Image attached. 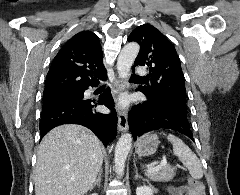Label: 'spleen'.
Returning <instances> with one entry per match:
<instances>
[{"mask_svg": "<svg viewBox=\"0 0 240 195\" xmlns=\"http://www.w3.org/2000/svg\"><path fill=\"white\" fill-rule=\"evenodd\" d=\"M145 135H147V133H145ZM163 135H166V133H163ZM167 139L172 143L174 155L179 157L183 165L187 167L190 175H192L194 179H201V177H203L202 165L196 153H194L180 137H176V135H172V133H168Z\"/></svg>", "mask_w": 240, "mask_h": 195, "instance_id": "3e777b00", "label": "spleen"}]
</instances>
